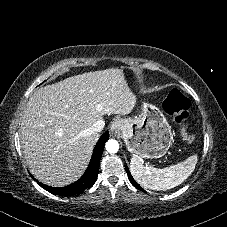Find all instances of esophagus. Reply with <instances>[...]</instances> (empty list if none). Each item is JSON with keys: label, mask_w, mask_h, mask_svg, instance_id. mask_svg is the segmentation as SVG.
<instances>
[{"label": "esophagus", "mask_w": 227, "mask_h": 227, "mask_svg": "<svg viewBox=\"0 0 227 227\" xmlns=\"http://www.w3.org/2000/svg\"><path fill=\"white\" fill-rule=\"evenodd\" d=\"M122 126H123V121L121 119L114 120L110 126L111 133L112 134L120 133Z\"/></svg>", "instance_id": "1"}]
</instances>
